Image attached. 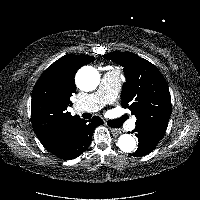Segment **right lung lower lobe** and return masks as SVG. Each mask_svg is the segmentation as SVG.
<instances>
[{"instance_id":"98d812e1","label":"right lung lower lobe","mask_w":200,"mask_h":200,"mask_svg":"<svg viewBox=\"0 0 200 200\" xmlns=\"http://www.w3.org/2000/svg\"><path fill=\"white\" fill-rule=\"evenodd\" d=\"M102 124L103 121L98 116L89 121L80 118L45 148L64 160L76 158L89 147L95 127Z\"/></svg>"}]
</instances>
